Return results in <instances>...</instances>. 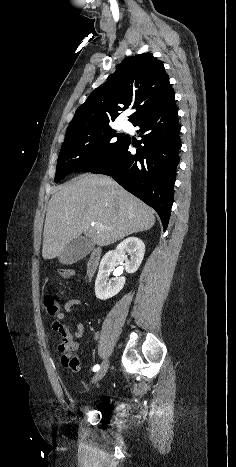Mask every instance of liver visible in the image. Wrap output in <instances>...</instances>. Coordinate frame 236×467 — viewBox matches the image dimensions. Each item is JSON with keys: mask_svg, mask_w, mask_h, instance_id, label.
Segmentation results:
<instances>
[{"mask_svg": "<svg viewBox=\"0 0 236 467\" xmlns=\"http://www.w3.org/2000/svg\"><path fill=\"white\" fill-rule=\"evenodd\" d=\"M103 225L102 229L97 226ZM154 211L112 178L82 174L59 186L47 208L42 257L53 259L74 239L88 235L93 244L107 246L149 230Z\"/></svg>", "mask_w": 236, "mask_h": 467, "instance_id": "liver-1", "label": "liver"}]
</instances>
